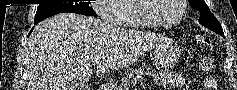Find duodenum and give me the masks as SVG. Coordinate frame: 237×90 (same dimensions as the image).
I'll use <instances>...</instances> for the list:
<instances>
[{
    "label": "duodenum",
    "mask_w": 237,
    "mask_h": 90,
    "mask_svg": "<svg viewBox=\"0 0 237 90\" xmlns=\"http://www.w3.org/2000/svg\"><path fill=\"white\" fill-rule=\"evenodd\" d=\"M99 90H113L112 87H99Z\"/></svg>",
    "instance_id": "1"
}]
</instances>
